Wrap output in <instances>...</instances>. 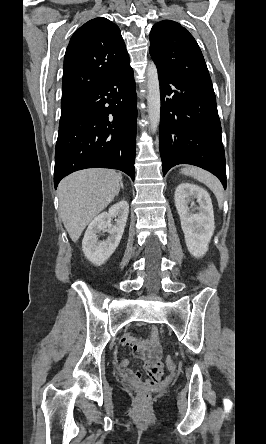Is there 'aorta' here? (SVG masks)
I'll list each match as a JSON object with an SVG mask.
<instances>
[{
    "label": "aorta",
    "instance_id": "762f6f07",
    "mask_svg": "<svg viewBox=\"0 0 266 444\" xmlns=\"http://www.w3.org/2000/svg\"><path fill=\"white\" fill-rule=\"evenodd\" d=\"M146 75L148 119L150 122V130L154 133L160 122L161 101L158 71L153 62L149 63Z\"/></svg>",
    "mask_w": 266,
    "mask_h": 444
}]
</instances>
